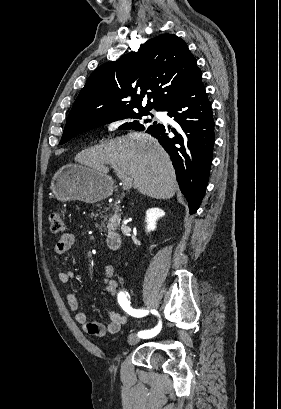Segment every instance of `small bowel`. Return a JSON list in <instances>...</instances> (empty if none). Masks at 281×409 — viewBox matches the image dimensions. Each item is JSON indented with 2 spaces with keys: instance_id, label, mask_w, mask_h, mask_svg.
Here are the masks:
<instances>
[{
  "instance_id": "c3829d8e",
  "label": "small bowel",
  "mask_w": 281,
  "mask_h": 409,
  "mask_svg": "<svg viewBox=\"0 0 281 409\" xmlns=\"http://www.w3.org/2000/svg\"><path fill=\"white\" fill-rule=\"evenodd\" d=\"M75 237L72 233L66 232L60 236L55 247V258L58 260L61 255L66 253L73 245ZM115 268L109 264L104 268L103 287L100 291V296L104 298L106 295H111L115 303L118 304L117 295L119 291V281L114 278ZM73 271L60 270L58 272V280L62 284H68L73 278ZM66 303L70 310L74 313L76 322L81 326L83 332L101 337L106 334L118 333L121 327L125 324L126 319L114 311H108L107 315L110 321L107 325H103L97 322H90L87 315L79 310V301L75 294L68 293L65 297Z\"/></svg>"
}]
</instances>
